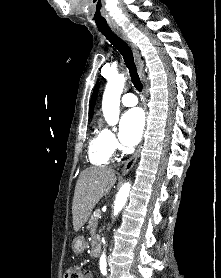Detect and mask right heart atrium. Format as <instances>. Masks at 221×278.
<instances>
[{
	"instance_id": "1",
	"label": "right heart atrium",
	"mask_w": 221,
	"mask_h": 278,
	"mask_svg": "<svg viewBox=\"0 0 221 278\" xmlns=\"http://www.w3.org/2000/svg\"><path fill=\"white\" fill-rule=\"evenodd\" d=\"M103 133L111 151L114 152L118 148V142L114 133L109 129H104Z\"/></svg>"
}]
</instances>
